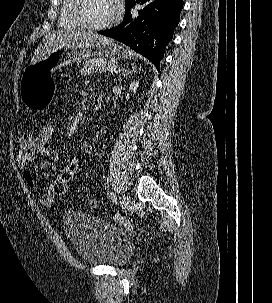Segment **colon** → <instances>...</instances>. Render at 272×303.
Here are the masks:
<instances>
[{
	"label": "colon",
	"instance_id": "1",
	"mask_svg": "<svg viewBox=\"0 0 272 303\" xmlns=\"http://www.w3.org/2000/svg\"><path fill=\"white\" fill-rule=\"evenodd\" d=\"M55 133L56 128L54 122L47 119L41 123L37 132V139L43 145L53 146ZM80 165L81 160L78 156H73L69 159L66 167L62 170V172L58 175L52 184L56 196H63L66 194L69 183L80 170ZM27 175L31 180L29 173H27ZM87 204L91 210H95L98 206V203L94 198L89 199Z\"/></svg>",
	"mask_w": 272,
	"mask_h": 303
}]
</instances>
